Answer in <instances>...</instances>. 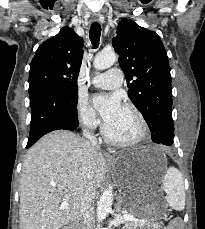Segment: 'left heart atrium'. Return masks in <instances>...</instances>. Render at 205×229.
Returning a JSON list of instances; mask_svg holds the SVG:
<instances>
[{"instance_id":"left-heart-atrium-1","label":"left heart atrium","mask_w":205,"mask_h":229,"mask_svg":"<svg viewBox=\"0 0 205 229\" xmlns=\"http://www.w3.org/2000/svg\"><path fill=\"white\" fill-rule=\"evenodd\" d=\"M94 104L105 122H110L122 109L121 99L118 95H101L94 98Z\"/></svg>"}]
</instances>
